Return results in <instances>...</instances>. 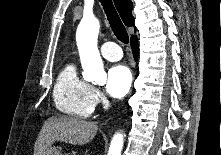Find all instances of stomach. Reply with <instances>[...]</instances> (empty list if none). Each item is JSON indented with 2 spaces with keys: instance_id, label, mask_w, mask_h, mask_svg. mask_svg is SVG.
Returning <instances> with one entry per match:
<instances>
[{
  "instance_id": "1",
  "label": "stomach",
  "mask_w": 221,
  "mask_h": 155,
  "mask_svg": "<svg viewBox=\"0 0 221 155\" xmlns=\"http://www.w3.org/2000/svg\"><path fill=\"white\" fill-rule=\"evenodd\" d=\"M44 155H63L59 148L55 146H51L48 148Z\"/></svg>"
}]
</instances>
